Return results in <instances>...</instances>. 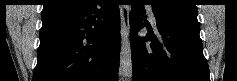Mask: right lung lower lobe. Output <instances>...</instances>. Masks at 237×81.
<instances>
[{"label": "right lung lower lobe", "instance_id": "98d812e1", "mask_svg": "<svg viewBox=\"0 0 237 81\" xmlns=\"http://www.w3.org/2000/svg\"><path fill=\"white\" fill-rule=\"evenodd\" d=\"M120 13L112 0L42 18L33 81H116Z\"/></svg>", "mask_w": 237, "mask_h": 81}]
</instances>
